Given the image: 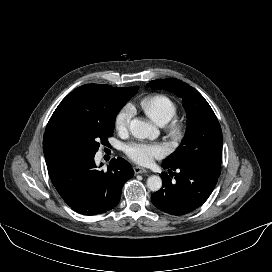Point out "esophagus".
<instances>
[{
	"mask_svg": "<svg viewBox=\"0 0 272 272\" xmlns=\"http://www.w3.org/2000/svg\"><path fill=\"white\" fill-rule=\"evenodd\" d=\"M134 172H135V174H142V173H147L148 171L145 168L135 166Z\"/></svg>",
	"mask_w": 272,
	"mask_h": 272,
	"instance_id": "obj_1",
	"label": "esophagus"
}]
</instances>
